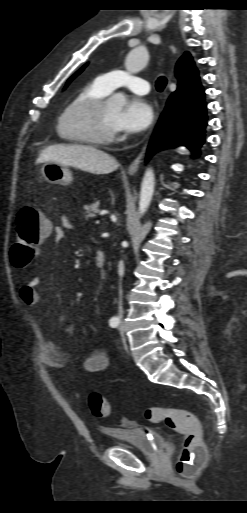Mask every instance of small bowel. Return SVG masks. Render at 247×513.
Masks as SVG:
<instances>
[{
    "label": "small bowel",
    "mask_w": 247,
    "mask_h": 513,
    "mask_svg": "<svg viewBox=\"0 0 247 513\" xmlns=\"http://www.w3.org/2000/svg\"><path fill=\"white\" fill-rule=\"evenodd\" d=\"M73 224L64 216L60 226H52L48 237H53L56 242H60L65 237V230L72 229ZM41 287V279L39 277H32L27 283L20 287L19 298L26 306H35L42 300L39 293ZM99 310V306H95ZM41 362L50 368L61 369L67 366L66 353L58 348V346L51 340L45 341L44 349L41 354ZM109 365V358L102 350H94L89 352L83 362L82 368L88 373H97L105 370Z\"/></svg>",
    "instance_id": "1"
}]
</instances>
